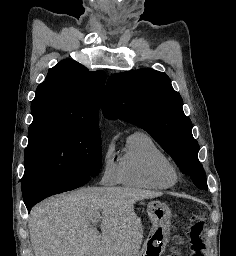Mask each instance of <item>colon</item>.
<instances>
[{
  "label": "colon",
  "mask_w": 236,
  "mask_h": 256,
  "mask_svg": "<svg viewBox=\"0 0 236 256\" xmlns=\"http://www.w3.org/2000/svg\"><path fill=\"white\" fill-rule=\"evenodd\" d=\"M205 208L200 207L189 214L190 227L188 231L190 256H205L203 232L206 226Z\"/></svg>",
  "instance_id": "5ec220e1"
}]
</instances>
